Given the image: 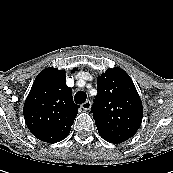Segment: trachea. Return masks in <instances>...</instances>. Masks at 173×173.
I'll list each match as a JSON object with an SVG mask.
<instances>
[{
  "label": "trachea",
  "mask_w": 173,
  "mask_h": 173,
  "mask_svg": "<svg viewBox=\"0 0 173 173\" xmlns=\"http://www.w3.org/2000/svg\"><path fill=\"white\" fill-rule=\"evenodd\" d=\"M86 98H87L86 93L83 92V91H79V92H77V93L75 94V96H74V101H75V103H77V104H82V103H84V102L86 101Z\"/></svg>",
  "instance_id": "obj_1"
}]
</instances>
